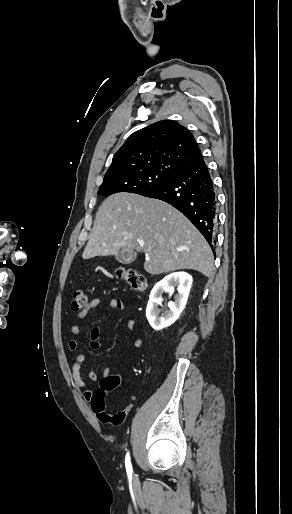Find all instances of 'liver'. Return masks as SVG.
I'll return each mask as SVG.
<instances>
[{"label":"liver","mask_w":292,"mask_h":514,"mask_svg":"<svg viewBox=\"0 0 292 514\" xmlns=\"http://www.w3.org/2000/svg\"><path fill=\"white\" fill-rule=\"evenodd\" d=\"M122 248L146 254L148 274L187 268L207 278L212 274L214 256L205 238L162 200L120 192L102 202L82 258L114 256Z\"/></svg>","instance_id":"1"}]
</instances>
